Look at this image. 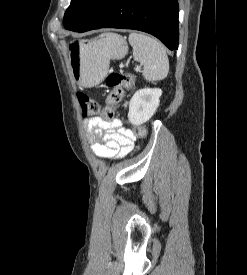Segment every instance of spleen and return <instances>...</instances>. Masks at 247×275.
<instances>
[{"label": "spleen", "instance_id": "3e777b00", "mask_svg": "<svg viewBox=\"0 0 247 275\" xmlns=\"http://www.w3.org/2000/svg\"><path fill=\"white\" fill-rule=\"evenodd\" d=\"M129 43L133 48V56L143 65V76L148 81H159L167 77L169 72V59L164 46L156 39L143 33L132 32ZM105 36L102 35L98 43L103 44Z\"/></svg>", "mask_w": 247, "mask_h": 275}]
</instances>
